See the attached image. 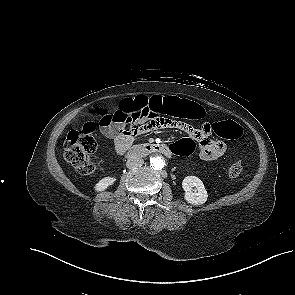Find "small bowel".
Instances as JSON below:
<instances>
[{
	"label": "small bowel",
	"instance_id": "small-bowel-1",
	"mask_svg": "<svg viewBox=\"0 0 295 295\" xmlns=\"http://www.w3.org/2000/svg\"><path fill=\"white\" fill-rule=\"evenodd\" d=\"M159 98L166 101L168 98ZM164 109L158 111L141 112L138 114L121 113L119 117L107 120H100L99 129L102 135L112 139L114 150L117 154L125 153L131 146L135 137L144 135L160 128L180 129L187 133L191 141L199 143V157L204 161H214L224 155L225 144L220 140L211 138L212 126L205 123L201 128H194L183 120H175L165 115ZM130 124L131 128L126 126Z\"/></svg>",
	"mask_w": 295,
	"mask_h": 295
}]
</instances>
